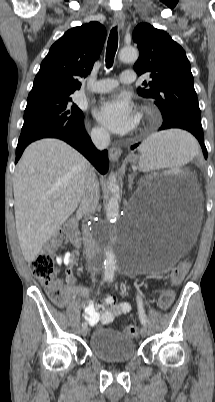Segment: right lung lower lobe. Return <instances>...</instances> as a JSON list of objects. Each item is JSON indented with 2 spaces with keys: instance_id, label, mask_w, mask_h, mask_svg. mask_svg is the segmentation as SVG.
<instances>
[{
  "instance_id": "98d812e1",
  "label": "right lung lower lobe",
  "mask_w": 215,
  "mask_h": 402,
  "mask_svg": "<svg viewBox=\"0 0 215 402\" xmlns=\"http://www.w3.org/2000/svg\"><path fill=\"white\" fill-rule=\"evenodd\" d=\"M41 138L61 139L65 142H67L68 144H70L71 146H73L80 153H82L96 167V169L100 173L105 174L108 170V166H109L108 152H107V150L99 151L95 148L90 137L88 136V134L85 131L84 122L75 127L64 128L59 131L51 132L48 134H43V135L37 137L36 139H34L33 141L41 139ZM33 141H31V142H33ZM31 142H29L25 145H17L15 162H17L19 160L24 149Z\"/></svg>"
}]
</instances>
